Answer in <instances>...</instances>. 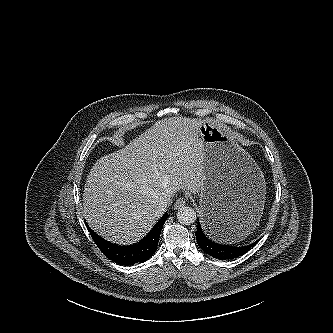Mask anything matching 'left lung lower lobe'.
<instances>
[{
  "label": "left lung lower lobe",
  "instance_id": "left-lung-lower-lobe-1",
  "mask_svg": "<svg viewBox=\"0 0 333 333\" xmlns=\"http://www.w3.org/2000/svg\"><path fill=\"white\" fill-rule=\"evenodd\" d=\"M198 221V228L195 233L196 240L198 242V245L200 248L210 256L220 259V260H230L235 259L239 256L244 255L246 252H248L258 241L254 242L253 244L244 246V247H236L232 245H223L216 243L212 240H210L206 235L204 234L200 222ZM231 224H237L236 222L232 223H224L221 220L216 221L214 223V231L216 237L221 240V233L225 231ZM223 241V240H222Z\"/></svg>",
  "mask_w": 333,
  "mask_h": 333
}]
</instances>
